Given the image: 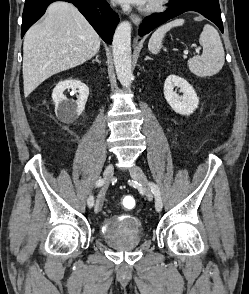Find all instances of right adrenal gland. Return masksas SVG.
Here are the masks:
<instances>
[{"label":"right adrenal gland","mask_w":249,"mask_h":294,"mask_svg":"<svg viewBox=\"0 0 249 294\" xmlns=\"http://www.w3.org/2000/svg\"><path fill=\"white\" fill-rule=\"evenodd\" d=\"M98 57H99V55H96L95 59L92 60V63L96 61V62H98L100 64L101 62L99 61Z\"/></svg>","instance_id":"right-adrenal-gland-1"}]
</instances>
